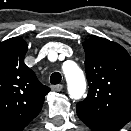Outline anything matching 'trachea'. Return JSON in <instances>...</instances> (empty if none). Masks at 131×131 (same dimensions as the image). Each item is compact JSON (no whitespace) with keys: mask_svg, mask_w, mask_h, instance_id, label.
Instances as JSON below:
<instances>
[{"mask_svg":"<svg viewBox=\"0 0 131 131\" xmlns=\"http://www.w3.org/2000/svg\"><path fill=\"white\" fill-rule=\"evenodd\" d=\"M61 74L59 72H54L50 77L51 84H59L61 82Z\"/></svg>","mask_w":131,"mask_h":131,"instance_id":"obj_1","label":"trachea"}]
</instances>
